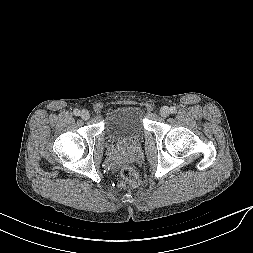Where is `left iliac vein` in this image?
<instances>
[{
    "label": "left iliac vein",
    "instance_id": "1",
    "mask_svg": "<svg viewBox=\"0 0 253 253\" xmlns=\"http://www.w3.org/2000/svg\"><path fill=\"white\" fill-rule=\"evenodd\" d=\"M171 113V110L168 106H163L161 109H160V115L162 117H168Z\"/></svg>",
    "mask_w": 253,
    "mask_h": 253
}]
</instances>
